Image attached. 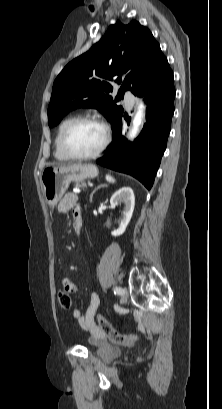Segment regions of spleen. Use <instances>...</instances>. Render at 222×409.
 Segmentation results:
<instances>
[{"instance_id":"obj_1","label":"spleen","mask_w":222,"mask_h":409,"mask_svg":"<svg viewBox=\"0 0 222 409\" xmlns=\"http://www.w3.org/2000/svg\"><path fill=\"white\" fill-rule=\"evenodd\" d=\"M106 180H107L109 183H114V182H115V179H114L112 176H110V175H106Z\"/></svg>"}]
</instances>
